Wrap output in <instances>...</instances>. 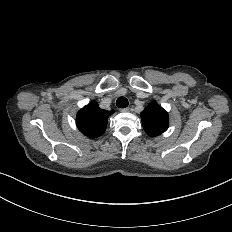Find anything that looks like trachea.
<instances>
[{
  "instance_id": "obj_1",
  "label": "trachea",
  "mask_w": 232,
  "mask_h": 232,
  "mask_svg": "<svg viewBox=\"0 0 232 232\" xmlns=\"http://www.w3.org/2000/svg\"><path fill=\"white\" fill-rule=\"evenodd\" d=\"M128 100L125 97H119L116 101V105L119 108H126L128 106Z\"/></svg>"
}]
</instances>
